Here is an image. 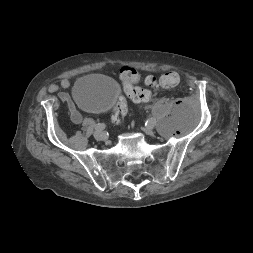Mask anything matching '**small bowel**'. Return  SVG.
Returning a JSON list of instances; mask_svg holds the SVG:
<instances>
[{
	"instance_id": "small-bowel-1",
	"label": "small bowel",
	"mask_w": 253,
	"mask_h": 253,
	"mask_svg": "<svg viewBox=\"0 0 253 253\" xmlns=\"http://www.w3.org/2000/svg\"><path fill=\"white\" fill-rule=\"evenodd\" d=\"M61 86H62L63 88H68V87L70 86V81H69L68 79H63V80L61 81ZM61 98H62L63 100H67L66 94L62 93V94H61ZM71 117H72V120H73L74 123L79 124V123H81V121H82V116H81V114H80L79 112H77V111H73Z\"/></svg>"
}]
</instances>
